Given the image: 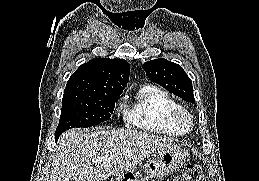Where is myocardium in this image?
<instances>
[{
    "mask_svg": "<svg viewBox=\"0 0 259 181\" xmlns=\"http://www.w3.org/2000/svg\"><path fill=\"white\" fill-rule=\"evenodd\" d=\"M177 121L186 128H190L193 123V117L187 110L183 108L177 114Z\"/></svg>",
    "mask_w": 259,
    "mask_h": 181,
    "instance_id": "f54148a6",
    "label": "myocardium"
}]
</instances>
